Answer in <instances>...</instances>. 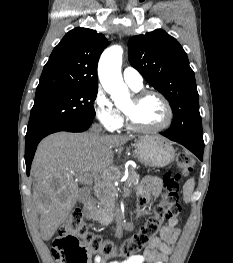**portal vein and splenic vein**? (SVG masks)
I'll return each instance as SVG.
<instances>
[{
	"label": "portal vein and splenic vein",
	"instance_id": "18ae733b",
	"mask_svg": "<svg viewBox=\"0 0 233 263\" xmlns=\"http://www.w3.org/2000/svg\"><path fill=\"white\" fill-rule=\"evenodd\" d=\"M78 180H79L81 183L85 184V185H91V184H92V177H91V175L89 174V172H88V173H85V174H83V175H81V176H79V177H78Z\"/></svg>",
	"mask_w": 233,
	"mask_h": 263
}]
</instances>
